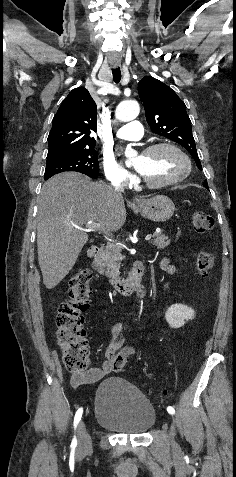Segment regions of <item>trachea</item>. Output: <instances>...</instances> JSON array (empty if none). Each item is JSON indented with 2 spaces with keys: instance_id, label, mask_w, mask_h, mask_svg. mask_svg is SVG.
I'll use <instances>...</instances> for the list:
<instances>
[{
  "instance_id": "1",
  "label": "trachea",
  "mask_w": 236,
  "mask_h": 477,
  "mask_svg": "<svg viewBox=\"0 0 236 477\" xmlns=\"http://www.w3.org/2000/svg\"><path fill=\"white\" fill-rule=\"evenodd\" d=\"M113 79L115 83H119L121 80V70L120 68L112 69Z\"/></svg>"
}]
</instances>
